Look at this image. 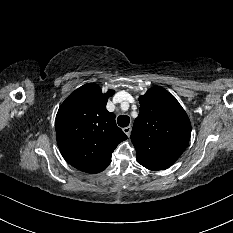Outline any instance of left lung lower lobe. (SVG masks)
I'll list each match as a JSON object with an SVG mask.
<instances>
[{"instance_id":"1","label":"left lung lower lobe","mask_w":233,"mask_h":233,"mask_svg":"<svg viewBox=\"0 0 233 233\" xmlns=\"http://www.w3.org/2000/svg\"><path fill=\"white\" fill-rule=\"evenodd\" d=\"M142 166H144L143 164H141ZM144 167H146L147 169H149V170H157V169H155V168H151V167H149V166H144Z\"/></svg>"}]
</instances>
